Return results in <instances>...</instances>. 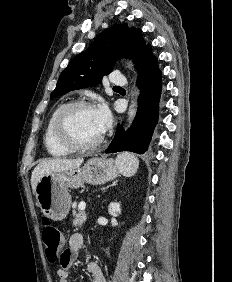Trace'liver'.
I'll use <instances>...</instances> for the list:
<instances>
[{"instance_id":"liver-1","label":"liver","mask_w":232,"mask_h":282,"mask_svg":"<svg viewBox=\"0 0 232 282\" xmlns=\"http://www.w3.org/2000/svg\"><path fill=\"white\" fill-rule=\"evenodd\" d=\"M83 163L82 158L78 159H48L41 161L33 170L31 176V186L33 193L36 194V185L42 176L54 172L68 171L79 168Z\"/></svg>"}]
</instances>
